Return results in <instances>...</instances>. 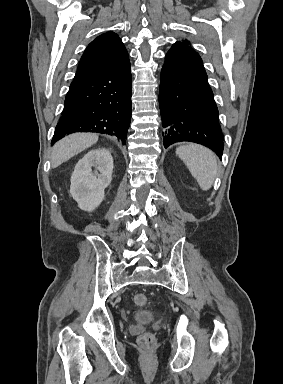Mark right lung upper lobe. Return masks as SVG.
I'll use <instances>...</instances> for the list:
<instances>
[{
    "label": "right lung upper lobe",
    "instance_id": "1",
    "mask_svg": "<svg viewBox=\"0 0 283 384\" xmlns=\"http://www.w3.org/2000/svg\"><path fill=\"white\" fill-rule=\"evenodd\" d=\"M128 63V53L119 36L113 32H107L98 36L87 46L74 80L115 71Z\"/></svg>",
    "mask_w": 283,
    "mask_h": 384
}]
</instances>
